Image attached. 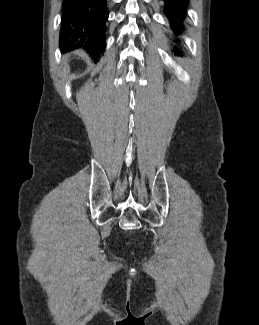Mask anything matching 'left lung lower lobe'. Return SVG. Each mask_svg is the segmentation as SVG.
<instances>
[{
    "instance_id": "0a47b994",
    "label": "left lung lower lobe",
    "mask_w": 259,
    "mask_h": 325,
    "mask_svg": "<svg viewBox=\"0 0 259 325\" xmlns=\"http://www.w3.org/2000/svg\"><path fill=\"white\" fill-rule=\"evenodd\" d=\"M164 2V13L174 32V41L179 42L178 35L184 31L183 23L187 14L188 0H164Z\"/></svg>"
}]
</instances>
